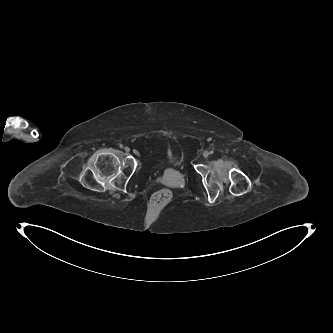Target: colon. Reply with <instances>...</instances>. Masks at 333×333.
Returning a JSON list of instances; mask_svg holds the SVG:
<instances>
[{
    "label": "colon",
    "mask_w": 333,
    "mask_h": 333,
    "mask_svg": "<svg viewBox=\"0 0 333 333\" xmlns=\"http://www.w3.org/2000/svg\"><path fill=\"white\" fill-rule=\"evenodd\" d=\"M172 198V192L167 188H163L152 195L150 204L155 209H163L170 204Z\"/></svg>",
    "instance_id": "5ec220e1"
}]
</instances>
